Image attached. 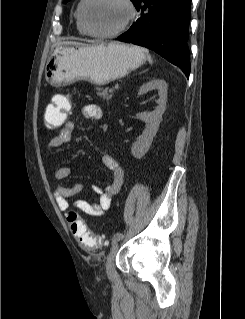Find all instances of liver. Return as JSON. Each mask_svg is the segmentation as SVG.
I'll return each mask as SVG.
<instances>
[{
  "instance_id": "liver-1",
  "label": "liver",
  "mask_w": 245,
  "mask_h": 319,
  "mask_svg": "<svg viewBox=\"0 0 245 319\" xmlns=\"http://www.w3.org/2000/svg\"><path fill=\"white\" fill-rule=\"evenodd\" d=\"M57 45H84V44L77 43V42L66 41V42L57 43L54 46H57Z\"/></svg>"
}]
</instances>
